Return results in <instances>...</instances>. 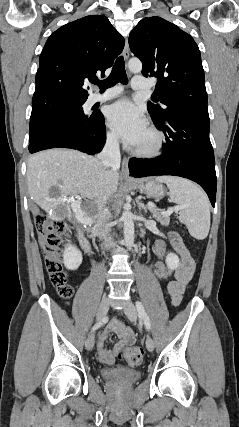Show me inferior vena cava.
Returning <instances> with one entry per match:
<instances>
[{
    "mask_svg": "<svg viewBox=\"0 0 239 427\" xmlns=\"http://www.w3.org/2000/svg\"><path fill=\"white\" fill-rule=\"evenodd\" d=\"M98 159L106 168H112L117 170L120 167L121 157L117 136L110 135L107 137L104 148L98 155ZM110 217L111 214L108 209L103 208L95 226L96 234L99 236V238L104 240V245L107 248H110L113 245V240L109 235L110 227L108 225V221Z\"/></svg>",
    "mask_w": 239,
    "mask_h": 427,
    "instance_id": "602c4592",
    "label": "inferior vena cava"
}]
</instances>
